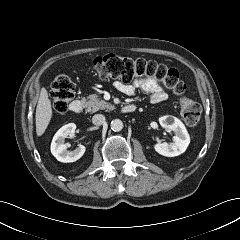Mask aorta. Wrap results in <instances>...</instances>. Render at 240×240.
Returning <instances> with one entry per match:
<instances>
[{
    "instance_id": "1",
    "label": "aorta",
    "mask_w": 240,
    "mask_h": 240,
    "mask_svg": "<svg viewBox=\"0 0 240 240\" xmlns=\"http://www.w3.org/2000/svg\"><path fill=\"white\" fill-rule=\"evenodd\" d=\"M111 129L115 132L121 131L123 129V122L120 119L112 120Z\"/></svg>"
}]
</instances>
